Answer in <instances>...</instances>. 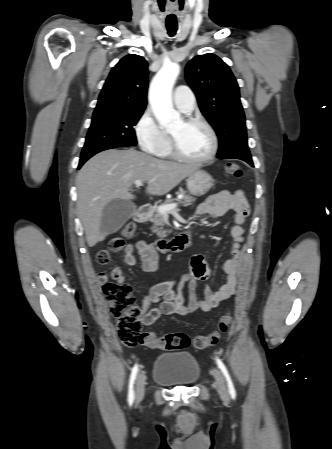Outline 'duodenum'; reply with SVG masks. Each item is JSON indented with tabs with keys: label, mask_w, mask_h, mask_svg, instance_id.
I'll list each match as a JSON object with an SVG mask.
<instances>
[{
	"label": "duodenum",
	"mask_w": 332,
	"mask_h": 449,
	"mask_svg": "<svg viewBox=\"0 0 332 449\" xmlns=\"http://www.w3.org/2000/svg\"><path fill=\"white\" fill-rule=\"evenodd\" d=\"M150 213V208L146 205L140 206L135 215L134 220L138 224H142L147 221ZM191 241V235L188 231L182 232L177 236L169 240H158L156 247L161 252H179L187 248Z\"/></svg>",
	"instance_id": "1"
}]
</instances>
